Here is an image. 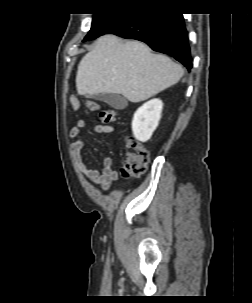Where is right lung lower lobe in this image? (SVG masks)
Segmentation results:
<instances>
[{
    "mask_svg": "<svg viewBox=\"0 0 252 303\" xmlns=\"http://www.w3.org/2000/svg\"><path fill=\"white\" fill-rule=\"evenodd\" d=\"M115 34L148 44L153 50L171 55L189 71L192 68L188 34L182 14L130 10L121 14L102 35Z\"/></svg>",
    "mask_w": 252,
    "mask_h": 303,
    "instance_id": "1",
    "label": "right lung lower lobe"
}]
</instances>
